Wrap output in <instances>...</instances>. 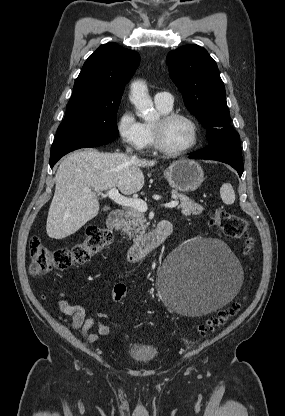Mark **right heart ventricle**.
Here are the masks:
<instances>
[{"mask_svg":"<svg viewBox=\"0 0 285 416\" xmlns=\"http://www.w3.org/2000/svg\"><path fill=\"white\" fill-rule=\"evenodd\" d=\"M158 105V108L160 110L161 113H165V112H169L171 108H166L162 105ZM144 128L147 134V138H148V146L149 147H153V133H152V124L151 123H144Z\"/></svg>","mask_w":285,"mask_h":416,"instance_id":"e07e8e85","label":"right heart ventricle"}]
</instances>
